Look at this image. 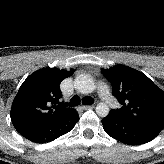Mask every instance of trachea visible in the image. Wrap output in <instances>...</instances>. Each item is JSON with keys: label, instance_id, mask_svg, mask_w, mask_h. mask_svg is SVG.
Returning <instances> with one entry per match:
<instances>
[{"label": "trachea", "instance_id": "trachea-1", "mask_svg": "<svg viewBox=\"0 0 164 164\" xmlns=\"http://www.w3.org/2000/svg\"><path fill=\"white\" fill-rule=\"evenodd\" d=\"M94 99L89 97V96H85L84 98H82V103L85 105H91L93 104ZM80 104V98L77 95H74L71 100H70V106H77Z\"/></svg>", "mask_w": 164, "mask_h": 164}]
</instances>
